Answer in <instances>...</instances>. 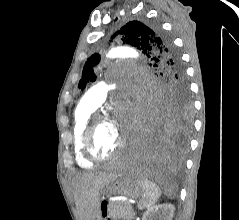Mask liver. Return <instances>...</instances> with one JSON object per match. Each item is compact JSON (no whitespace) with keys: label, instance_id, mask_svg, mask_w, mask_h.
I'll list each match as a JSON object with an SVG mask.
<instances>
[{"label":"liver","instance_id":"1","mask_svg":"<svg viewBox=\"0 0 239 220\" xmlns=\"http://www.w3.org/2000/svg\"><path fill=\"white\" fill-rule=\"evenodd\" d=\"M117 171H119L116 168ZM117 177V172L85 173L73 183L75 204L80 220H96L99 215L100 190Z\"/></svg>","mask_w":239,"mask_h":220}]
</instances>
